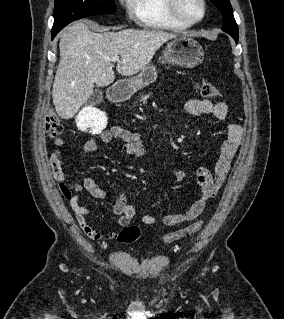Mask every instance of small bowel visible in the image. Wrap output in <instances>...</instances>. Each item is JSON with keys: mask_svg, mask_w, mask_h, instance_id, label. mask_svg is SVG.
<instances>
[{"mask_svg": "<svg viewBox=\"0 0 284 319\" xmlns=\"http://www.w3.org/2000/svg\"><path fill=\"white\" fill-rule=\"evenodd\" d=\"M186 113L192 116L212 115L219 120H225L228 116V106L223 102H211L209 100L191 99L184 105ZM242 129L238 124H229L226 129L225 137L219 147V155L215 167L212 171L206 168H199L196 171V183L198 185L197 199L184 211L166 214L162 221L167 226H176L189 222L197 218L204 210L208 200L217 196L223 187L230 172L232 162L241 142ZM123 141L121 151L127 155L142 157L145 155V148L140 136L119 126H113L104 130L98 139H89L85 142L81 154V162L86 163L87 159L98 149L99 142L109 144L113 140ZM56 148L50 156V164L53 178L68 201L70 207L76 215L77 222L89 238L95 241H107L118 238L116 232L102 234L94 230L88 223L89 209L80 204L79 193L83 190L96 198H104L106 193L93 177H86L83 183L69 181L63 170L65 162L64 154L58 149L63 144L61 139H57ZM171 175L175 181H182L185 173L176 169L171 170ZM111 212L118 216L116 225L119 227L127 226L137 215L136 208L129 204L124 193H121L111 208ZM142 222L146 225H153L157 219L153 215H144Z\"/></svg>", "mask_w": 284, "mask_h": 319, "instance_id": "small-bowel-1", "label": "small bowel"}]
</instances>
